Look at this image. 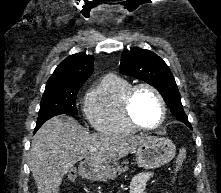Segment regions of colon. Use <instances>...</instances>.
Segmentation results:
<instances>
[{
    "label": "colon",
    "instance_id": "5ec220e1",
    "mask_svg": "<svg viewBox=\"0 0 221 193\" xmlns=\"http://www.w3.org/2000/svg\"><path fill=\"white\" fill-rule=\"evenodd\" d=\"M185 159H186V150L181 149L178 156H177V158H176V165H175L176 171L181 168V166L184 163ZM72 176H73V174H72Z\"/></svg>",
    "mask_w": 221,
    "mask_h": 193
}]
</instances>
